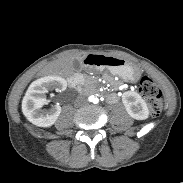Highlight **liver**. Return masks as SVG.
I'll return each mask as SVG.
<instances>
[{
	"label": "liver",
	"mask_w": 183,
	"mask_h": 183,
	"mask_svg": "<svg viewBox=\"0 0 183 183\" xmlns=\"http://www.w3.org/2000/svg\"><path fill=\"white\" fill-rule=\"evenodd\" d=\"M73 71L72 59H66L58 62L54 67V74L60 76H68Z\"/></svg>",
	"instance_id": "1"
}]
</instances>
